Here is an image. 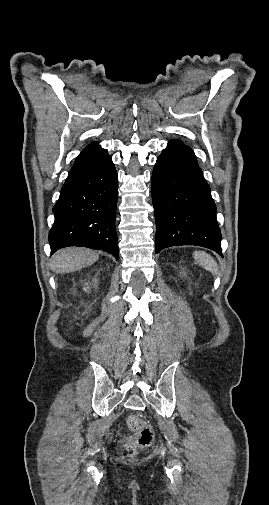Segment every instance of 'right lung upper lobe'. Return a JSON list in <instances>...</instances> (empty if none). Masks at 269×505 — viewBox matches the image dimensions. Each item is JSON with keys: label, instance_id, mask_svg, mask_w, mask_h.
<instances>
[{"label": "right lung upper lobe", "instance_id": "1", "mask_svg": "<svg viewBox=\"0 0 269 505\" xmlns=\"http://www.w3.org/2000/svg\"><path fill=\"white\" fill-rule=\"evenodd\" d=\"M96 145H97V143H96V142H94V143L90 144V145H89V146H88L85 150L90 149V148H92V147H94V146H96Z\"/></svg>", "mask_w": 269, "mask_h": 505}]
</instances>
